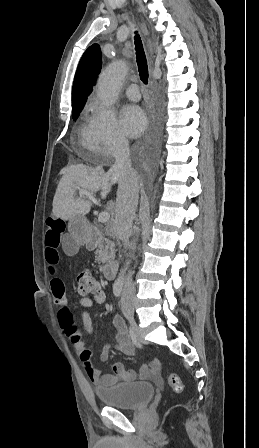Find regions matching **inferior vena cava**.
Listing matches in <instances>:
<instances>
[{"label": "inferior vena cava", "mask_w": 259, "mask_h": 448, "mask_svg": "<svg viewBox=\"0 0 259 448\" xmlns=\"http://www.w3.org/2000/svg\"><path fill=\"white\" fill-rule=\"evenodd\" d=\"M113 176L119 174V188L116 200L114 232L118 240H122L124 248H129V238L132 234L133 218L139 198V180L131 166L129 142L126 138H118L115 146V164L111 168ZM135 298V288L132 282V272H128L124 282L121 298L123 306L132 304Z\"/></svg>", "instance_id": "inferior-vena-cava-1"}]
</instances>
